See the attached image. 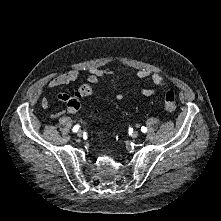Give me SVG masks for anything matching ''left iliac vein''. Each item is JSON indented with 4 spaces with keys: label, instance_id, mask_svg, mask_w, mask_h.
<instances>
[{
    "label": "left iliac vein",
    "instance_id": "left-iliac-vein-1",
    "mask_svg": "<svg viewBox=\"0 0 221 221\" xmlns=\"http://www.w3.org/2000/svg\"><path fill=\"white\" fill-rule=\"evenodd\" d=\"M131 136H132L133 138H137V137L139 136V133H138L137 131H134V132L131 134Z\"/></svg>",
    "mask_w": 221,
    "mask_h": 221
}]
</instances>
